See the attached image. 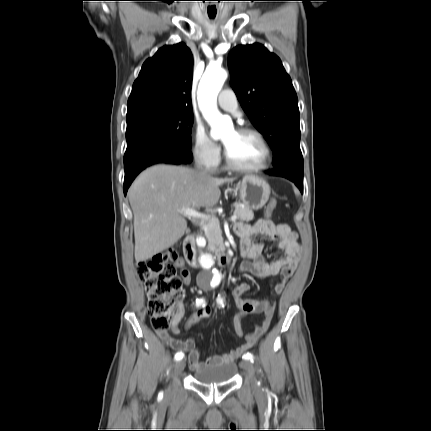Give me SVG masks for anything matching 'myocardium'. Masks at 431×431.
<instances>
[{"label":"myocardium","instance_id":"1","mask_svg":"<svg viewBox=\"0 0 431 431\" xmlns=\"http://www.w3.org/2000/svg\"><path fill=\"white\" fill-rule=\"evenodd\" d=\"M236 131L238 133L241 134H251L254 135L259 142L261 143V145L264 148V152H265V156H264V160L256 165V166H241L236 164L229 156L227 149L225 150V163L227 165V167L231 170L237 171V172H243V173H251V172H259L262 170H265L266 168L269 167L271 161H272V149L267 141V139L264 137V135L257 129L252 128V127H239L236 129Z\"/></svg>","mask_w":431,"mask_h":431}]
</instances>
